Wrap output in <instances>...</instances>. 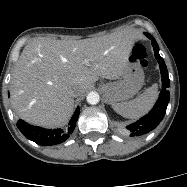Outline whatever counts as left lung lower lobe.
<instances>
[{"mask_svg":"<svg viewBox=\"0 0 187 187\" xmlns=\"http://www.w3.org/2000/svg\"><path fill=\"white\" fill-rule=\"evenodd\" d=\"M145 35L152 41L154 54L159 63L162 77V90L153 109L137 122L127 126V129L131 133L130 136L144 135L153 130L163 119L170 99V94L168 91V88L170 86V80L167 67L163 58L159 55V47L156 40L149 33H145Z\"/></svg>","mask_w":187,"mask_h":187,"instance_id":"1","label":"left lung lower lobe"}]
</instances>
